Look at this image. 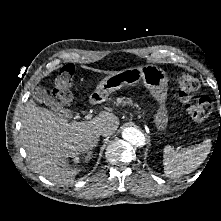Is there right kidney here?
Wrapping results in <instances>:
<instances>
[{"instance_id":"ca27d5eb","label":"right kidney","mask_w":221,"mask_h":221,"mask_svg":"<svg viewBox=\"0 0 221 221\" xmlns=\"http://www.w3.org/2000/svg\"><path fill=\"white\" fill-rule=\"evenodd\" d=\"M73 161H74L75 163H78V162H79V157L76 156V155H74V156H73Z\"/></svg>"}]
</instances>
